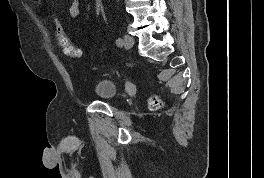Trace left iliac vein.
Segmentation results:
<instances>
[{
	"instance_id": "left-iliac-vein-1",
	"label": "left iliac vein",
	"mask_w": 264,
	"mask_h": 178,
	"mask_svg": "<svg viewBox=\"0 0 264 178\" xmlns=\"http://www.w3.org/2000/svg\"><path fill=\"white\" fill-rule=\"evenodd\" d=\"M134 45V38L132 36H130L129 34H125L124 35V46L127 49L132 48Z\"/></svg>"
}]
</instances>
